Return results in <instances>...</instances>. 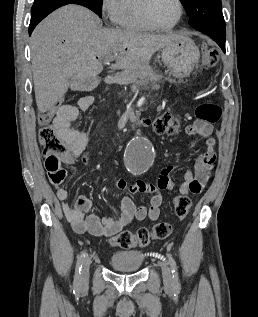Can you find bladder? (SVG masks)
<instances>
[{"mask_svg":"<svg viewBox=\"0 0 258 317\" xmlns=\"http://www.w3.org/2000/svg\"><path fill=\"white\" fill-rule=\"evenodd\" d=\"M110 264L120 271H136L142 267L144 256L141 251H118L110 256Z\"/></svg>","mask_w":258,"mask_h":317,"instance_id":"1","label":"bladder"}]
</instances>
